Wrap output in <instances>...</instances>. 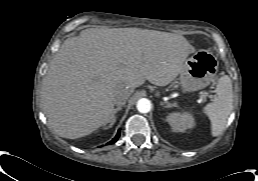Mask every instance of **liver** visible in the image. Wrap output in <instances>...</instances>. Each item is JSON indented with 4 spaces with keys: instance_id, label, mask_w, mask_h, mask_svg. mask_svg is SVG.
<instances>
[{
    "instance_id": "obj_1",
    "label": "liver",
    "mask_w": 258,
    "mask_h": 181,
    "mask_svg": "<svg viewBox=\"0 0 258 181\" xmlns=\"http://www.w3.org/2000/svg\"><path fill=\"white\" fill-rule=\"evenodd\" d=\"M195 48L181 35L90 28L66 39L43 79L41 105L60 137L76 139L110 122L116 99L145 80L168 85Z\"/></svg>"
}]
</instances>
